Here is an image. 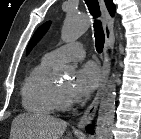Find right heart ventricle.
Wrapping results in <instances>:
<instances>
[{
  "label": "right heart ventricle",
  "instance_id": "obj_1",
  "mask_svg": "<svg viewBox=\"0 0 141 139\" xmlns=\"http://www.w3.org/2000/svg\"><path fill=\"white\" fill-rule=\"evenodd\" d=\"M54 66L55 64L43 57L25 77L21 97L26 111L45 116L57 110L55 85L49 76Z\"/></svg>",
  "mask_w": 141,
  "mask_h": 139
}]
</instances>
